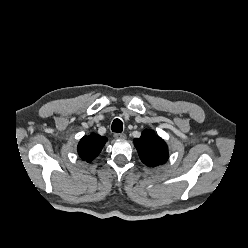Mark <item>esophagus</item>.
Segmentation results:
<instances>
[{
    "label": "esophagus",
    "instance_id": "34e87169",
    "mask_svg": "<svg viewBox=\"0 0 248 248\" xmlns=\"http://www.w3.org/2000/svg\"><path fill=\"white\" fill-rule=\"evenodd\" d=\"M114 137L116 139H125L126 138V134H124V133H115L114 134Z\"/></svg>",
    "mask_w": 248,
    "mask_h": 248
}]
</instances>
